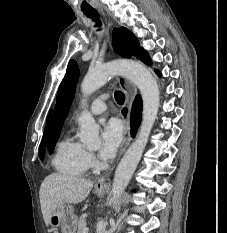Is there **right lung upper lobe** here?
<instances>
[{
	"label": "right lung upper lobe",
	"instance_id": "obj_1",
	"mask_svg": "<svg viewBox=\"0 0 227 233\" xmlns=\"http://www.w3.org/2000/svg\"><path fill=\"white\" fill-rule=\"evenodd\" d=\"M49 120H50V115L47 118V125L49 124ZM46 140H47V128L45 129V132H44L43 139H42V142L40 144V147L45 149Z\"/></svg>",
	"mask_w": 227,
	"mask_h": 233
}]
</instances>
